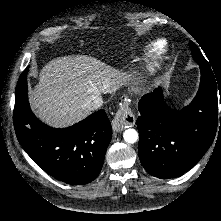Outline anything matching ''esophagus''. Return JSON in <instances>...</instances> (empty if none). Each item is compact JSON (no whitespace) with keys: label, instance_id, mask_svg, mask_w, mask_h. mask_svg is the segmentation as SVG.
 I'll return each mask as SVG.
<instances>
[{"label":"esophagus","instance_id":"esophagus-1","mask_svg":"<svg viewBox=\"0 0 221 221\" xmlns=\"http://www.w3.org/2000/svg\"><path fill=\"white\" fill-rule=\"evenodd\" d=\"M112 123L113 129L116 132L135 125V116L129 108V99L127 96H125L121 102L120 108L118 109Z\"/></svg>","mask_w":221,"mask_h":221}]
</instances>
